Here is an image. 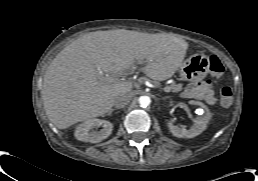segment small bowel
Instances as JSON below:
<instances>
[{
	"mask_svg": "<svg viewBox=\"0 0 258 181\" xmlns=\"http://www.w3.org/2000/svg\"><path fill=\"white\" fill-rule=\"evenodd\" d=\"M183 95L187 98L203 100L210 105L216 102L215 91L208 80L189 84L185 88Z\"/></svg>",
	"mask_w": 258,
	"mask_h": 181,
	"instance_id": "obj_1",
	"label": "small bowel"
}]
</instances>
